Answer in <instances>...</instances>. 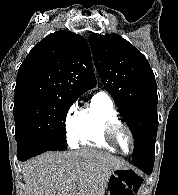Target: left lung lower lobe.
<instances>
[{
  "instance_id": "left-lung-lower-lobe-1",
  "label": "left lung lower lobe",
  "mask_w": 178,
  "mask_h": 195,
  "mask_svg": "<svg viewBox=\"0 0 178 195\" xmlns=\"http://www.w3.org/2000/svg\"><path fill=\"white\" fill-rule=\"evenodd\" d=\"M155 156L147 157L144 159H140L137 161H134L133 163L138 166L140 169L144 171L146 174H151L153 170Z\"/></svg>"
}]
</instances>
